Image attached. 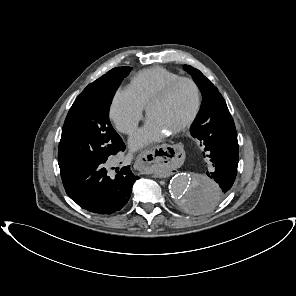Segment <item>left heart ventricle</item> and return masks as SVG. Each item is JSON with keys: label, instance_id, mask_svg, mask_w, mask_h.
<instances>
[{"label": "left heart ventricle", "instance_id": "1", "mask_svg": "<svg viewBox=\"0 0 296 296\" xmlns=\"http://www.w3.org/2000/svg\"><path fill=\"white\" fill-rule=\"evenodd\" d=\"M195 106V91L187 83L180 85L164 102L154 106L149 118L171 133L191 115Z\"/></svg>", "mask_w": 296, "mask_h": 296}]
</instances>
